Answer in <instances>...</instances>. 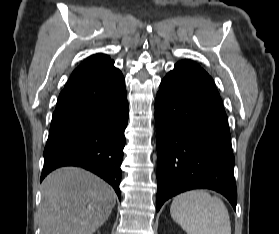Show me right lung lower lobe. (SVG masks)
I'll list each match as a JSON object with an SVG mask.
<instances>
[{
  "label": "right lung lower lobe",
  "mask_w": 279,
  "mask_h": 234,
  "mask_svg": "<svg viewBox=\"0 0 279 234\" xmlns=\"http://www.w3.org/2000/svg\"><path fill=\"white\" fill-rule=\"evenodd\" d=\"M113 64L66 84L60 93L44 149L40 182L58 167L78 166L106 180L121 198L120 166L129 108L124 77Z\"/></svg>",
  "instance_id": "right-lung-lower-lobe-1"
}]
</instances>
